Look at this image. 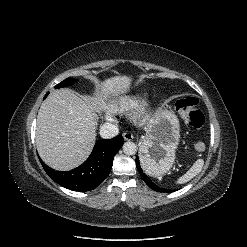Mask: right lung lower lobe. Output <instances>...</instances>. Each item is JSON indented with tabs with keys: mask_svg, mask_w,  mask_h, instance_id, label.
Listing matches in <instances>:
<instances>
[{
	"mask_svg": "<svg viewBox=\"0 0 247 247\" xmlns=\"http://www.w3.org/2000/svg\"><path fill=\"white\" fill-rule=\"evenodd\" d=\"M123 142L124 139L121 135L113 139H103L96 142L89 158L71 171H54L44 163L42 165L50 178L59 185L73 191H90L108 176L112 168L113 158Z\"/></svg>",
	"mask_w": 247,
	"mask_h": 247,
	"instance_id": "1",
	"label": "right lung lower lobe"
}]
</instances>
